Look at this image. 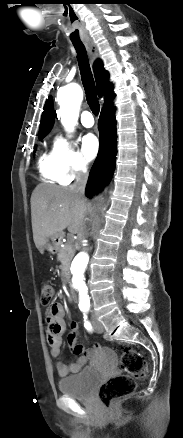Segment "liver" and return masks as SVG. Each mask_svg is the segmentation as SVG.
<instances>
[{"label": "liver", "instance_id": "1", "mask_svg": "<svg viewBox=\"0 0 183 438\" xmlns=\"http://www.w3.org/2000/svg\"><path fill=\"white\" fill-rule=\"evenodd\" d=\"M87 202L70 188L39 184L31 196L33 239L36 247H43L52 236L61 235L66 228L72 234L85 229Z\"/></svg>", "mask_w": 183, "mask_h": 438}]
</instances>
